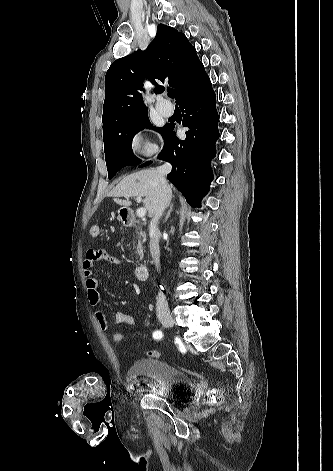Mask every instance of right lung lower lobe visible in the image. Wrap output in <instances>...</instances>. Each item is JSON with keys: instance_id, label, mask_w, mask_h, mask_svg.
Here are the masks:
<instances>
[{"instance_id": "right-lung-lower-lobe-1", "label": "right lung lower lobe", "mask_w": 333, "mask_h": 471, "mask_svg": "<svg viewBox=\"0 0 333 471\" xmlns=\"http://www.w3.org/2000/svg\"><path fill=\"white\" fill-rule=\"evenodd\" d=\"M178 104L183 114L182 124L189 128L186 139L179 140L173 131L175 125L166 124L162 134L164 148L159 158L173 166L167 175L169 181L191 206L198 207L210 188V161L215 156V142L219 137L216 96L206 73L192 83Z\"/></svg>"}]
</instances>
